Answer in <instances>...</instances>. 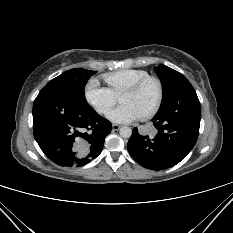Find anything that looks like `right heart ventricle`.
<instances>
[{"instance_id": "right-heart-ventricle-1", "label": "right heart ventricle", "mask_w": 233, "mask_h": 233, "mask_svg": "<svg viewBox=\"0 0 233 233\" xmlns=\"http://www.w3.org/2000/svg\"><path fill=\"white\" fill-rule=\"evenodd\" d=\"M148 75L149 73L143 69H123L104 74L103 79L113 94L117 95L128 86Z\"/></svg>"}]
</instances>
